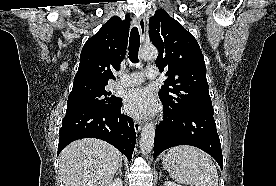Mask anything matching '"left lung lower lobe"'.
I'll return each mask as SVG.
<instances>
[{"instance_id": "left-lung-lower-lobe-1", "label": "left lung lower lobe", "mask_w": 276, "mask_h": 186, "mask_svg": "<svg viewBox=\"0 0 276 186\" xmlns=\"http://www.w3.org/2000/svg\"><path fill=\"white\" fill-rule=\"evenodd\" d=\"M162 104L165 119L159 123L155 131L154 158L168 148L191 145L211 155L223 169L213 108L176 112L163 102Z\"/></svg>"}]
</instances>
